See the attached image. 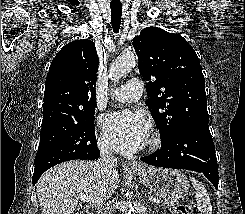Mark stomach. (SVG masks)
Wrapping results in <instances>:
<instances>
[{
	"instance_id": "obj_1",
	"label": "stomach",
	"mask_w": 245,
	"mask_h": 214,
	"mask_svg": "<svg viewBox=\"0 0 245 214\" xmlns=\"http://www.w3.org/2000/svg\"><path fill=\"white\" fill-rule=\"evenodd\" d=\"M136 174L146 187L169 201L183 198L190 188L187 177L176 169L148 167Z\"/></svg>"
}]
</instances>
